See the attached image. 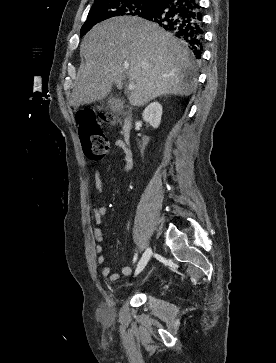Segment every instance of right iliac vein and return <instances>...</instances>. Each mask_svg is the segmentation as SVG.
<instances>
[{"label":"right iliac vein","mask_w":276,"mask_h":363,"mask_svg":"<svg viewBox=\"0 0 276 363\" xmlns=\"http://www.w3.org/2000/svg\"><path fill=\"white\" fill-rule=\"evenodd\" d=\"M151 255H152V250H151V248H150V247H148V248L145 250L144 254L142 255V258L140 259V261H139V263H138V265H137L136 271H137L138 267H139V266H141L142 264L144 265V267L146 266V264L148 263V261H149V259H150ZM135 273H136V272H135Z\"/></svg>","instance_id":"63e3f726"}]
</instances>
